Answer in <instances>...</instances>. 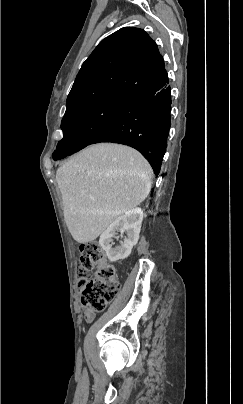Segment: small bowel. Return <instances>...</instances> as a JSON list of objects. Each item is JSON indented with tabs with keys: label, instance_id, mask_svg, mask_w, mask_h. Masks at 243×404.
I'll list each match as a JSON object with an SVG mask.
<instances>
[{
	"label": "small bowel",
	"instance_id": "1",
	"mask_svg": "<svg viewBox=\"0 0 243 404\" xmlns=\"http://www.w3.org/2000/svg\"><path fill=\"white\" fill-rule=\"evenodd\" d=\"M84 318H85L86 321H91L94 318V313L92 311H90V310H86Z\"/></svg>",
	"mask_w": 243,
	"mask_h": 404
}]
</instances>
